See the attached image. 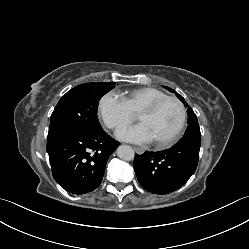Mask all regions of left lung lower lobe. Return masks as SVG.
Segmentation results:
<instances>
[{"label":"left lung lower lobe","instance_id":"1","mask_svg":"<svg viewBox=\"0 0 249 249\" xmlns=\"http://www.w3.org/2000/svg\"><path fill=\"white\" fill-rule=\"evenodd\" d=\"M200 141H179L170 149L135 155L134 170L144 189L167 194L179 189L195 172Z\"/></svg>","mask_w":249,"mask_h":249}]
</instances>
